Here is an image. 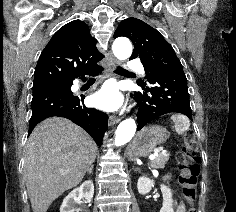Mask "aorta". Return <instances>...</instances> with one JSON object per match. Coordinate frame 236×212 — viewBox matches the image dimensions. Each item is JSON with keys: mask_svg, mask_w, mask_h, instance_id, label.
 I'll list each match as a JSON object with an SVG mask.
<instances>
[{"mask_svg": "<svg viewBox=\"0 0 236 212\" xmlns=\"http://www.w3.org/2000/svg\"><path fill=\"white\" fill-rule=\"evenodd\" d=\"M112 50L117 59L126 60L132 54V45L129 39L121 37L114 41ZM135 131L136 122L133 119L128 118L122 121L116 129L115 145L121 146L129 142L134 136Z\"/></svg>", "mask_w": 236, "mask_h": 212, "instance_id": "762f6f07", "label": "aorta"}]
</instances>
